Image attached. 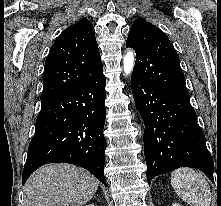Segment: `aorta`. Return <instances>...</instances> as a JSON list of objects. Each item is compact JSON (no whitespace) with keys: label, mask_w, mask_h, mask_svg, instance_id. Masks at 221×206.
Returning a JSON list of instances; mask_svg holds the SVG:
<instances>
[{"label":"aorta","mask_w":221,"mask_h":206,"mask_svg":"<svg viewBox=\"0 0 221 206\" xmlns=\"http://www.w3.org/2000/svg\"><path fill=\"white\" fill-rule=\"evenodd\" d=\"M134 53L133 51L129 50L127 51V53L125 54L124 58H123V69L125 74H130L131 71L133 70L134 67Z\"/></svg>","instance_id":"aorta-1"}]
</instances>
